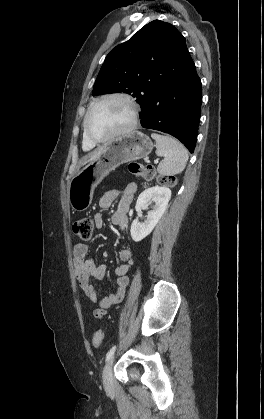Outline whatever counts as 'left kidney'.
<instances>
[{"mask_svg": "<svg viewBox=\"0 0 264 419\" xmlns=\"http://www.w3.org/2000/svg\"><path fill=\"white\" fill-rule=\"evenodd\" d=\"M171 198V190L165 186H154L144 190L136 202V211L148 206L151 201L155 203L152 211L148 212L147 218L143 223L135 219L131 224V237L135 242H139L148 236L158 221L164 214L168 202Z\"/></svg>", "mask_w": 264, "mask_h": 419, "instance_id": "left-kidney-1", "label": "left kidney"}]
</instances>
